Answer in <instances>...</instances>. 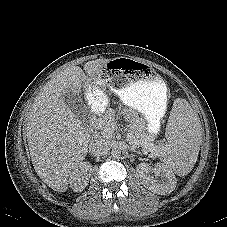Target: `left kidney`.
<instances>
[{
	"label": "left kidney",
	"mask_w": 227,
	"mask_h": 227,
	"mask_svg": "<svg viewBox=\"0 0 227 227\" xmlns=\"http://www.w3.org/2000/svg\"><path fill=\"white\" fill-rule=\"evenodd\" d=\"M136 175L145 188L159 195L169 194L176 188L174 173L162 163H157L154 167L140 163L136 167Z\"/></svg>",
	"instance_id": "left-kidney-1"
}]
</instances>
